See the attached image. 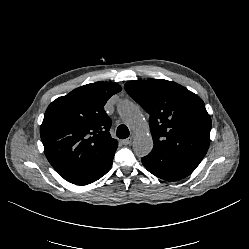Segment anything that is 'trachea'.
<instances>
[{"label":"trachea","instance_id":"obj_1","mask_svg":"<svg viewBox=\"0 0 249 249\" xmlns=\"http://www.w3.org/2000/svg\"><path fill=\"white\" fill-rule=\"evenodd\" d=\"M130 132L126 125H119L117 128V137L120 139H125L129 136Z\"/></svg>","mask_w":249,"mask_h":249}]
</instances>
